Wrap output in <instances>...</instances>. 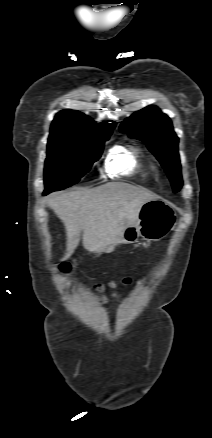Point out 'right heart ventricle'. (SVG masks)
Returning a JSON list of instances; mask_svg holds the SVG:
<instances>
[{
	"label": "right heart ventricle",
	"mask_w": 212,
	"mask_h": 438,
	"mask_svg": "<svg viewBox=\"0 0 212 438\" xmlns=\"http://www.w3.org/2000/svg\"><path fill=\"white\" fill-rule=\"evenodd\" d=\"M105 169L109 176H126L140 174L149 179L151 174L143 166L137 149L127 146H114L105 160Z\"/></svg>",
	"instance_id": "obj_1"
}]
</instances>
